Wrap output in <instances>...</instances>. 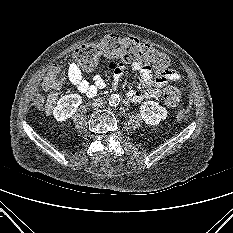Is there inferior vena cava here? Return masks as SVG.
<instances>
[{"label": "inferior vena cava", "mask_w": 233, "mask_h": 233, "mask_svg": "<svg viewBox=\"0 0 233 233\" xmlns=\"http://www.w3.org/2000/svg\"><path fill=\"white\" fill-rule=\"evenodd\" d=\"M104 105H105V101L100 98L95 99V101L93 102V106L97 109L103 107Z\"/></svg>", "instance_id": "1"}]
</instances>
